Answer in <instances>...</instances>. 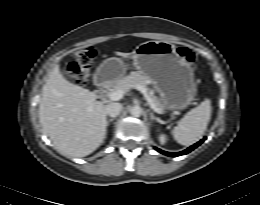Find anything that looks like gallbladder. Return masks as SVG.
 Masks as SVG:
<instances>
[{"label": "gallbladder", "instance_id": "gallbladder-1", "mask_svg": "<svg viewBox=\"0 0 260 205\" xmlns=\"http://www.w3.org/2000/svg\"><path fill=\"white\" fill-rule=\"evenodd\" d=\"M63 73H64L66 76H70V75H69V72L66 71V70H64Z\"/></svg>", "mask_w": 260, "mask_h": 205}]
</instances>
